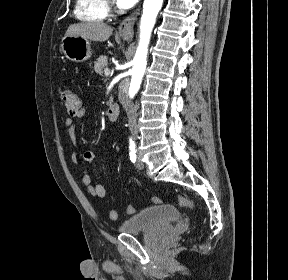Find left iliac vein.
Here are the masks:
<instances>
[{
	"label": "left iliac vein",
	"instance_id": "1",
	"mask_svg": "<svg viewBox=\"0 0 288 280\" xmlns=\"http://www.w3.org/2000/svg\"><path fill=\"white\" fill-rule=\"evenodd\" d=\"M136 168L142 170L144 168V163L138 158L136 162Z\"/></svg>",
	"mask_w": 288,
	"mask_h": 280
}]
</instances>
